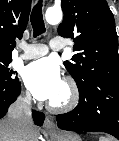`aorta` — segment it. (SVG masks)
<instances>
[{
  "label": "aorta",
  "instance_id": "1",
  "mask_svg": "<svg viewBox=\"0 0 119 141\" xmlns=\"http://www.w3.org/2000/svg\"><path fill=\"white\" fill-rule=\"evenodd\" d=\"M45 17L49 24H58L62 20V11L59 8H48Z\"/></svg>",
  "mask_w": 119,
  "mask_h": 141
}]
</instances>
